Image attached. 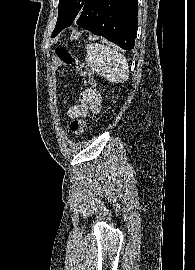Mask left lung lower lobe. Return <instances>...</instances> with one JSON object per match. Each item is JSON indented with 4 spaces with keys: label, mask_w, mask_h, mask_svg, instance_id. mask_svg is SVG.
I'll list each match as a JSON object with an SVG mask.
<instances>
[{
    "label": "left lung lower lobe",
    "mask_w": 195,
    "mask_h": 270,
    "mask_svg": "<svg viewBox=\"0 0 195 270\" xmlns=\"http://www.w3.org/2000/svg\"><path fill=\"white\" fill-rule=\"evenodd\" d=\"M137 13V0H86L76 20L83 29L127 50L135 45Z\"/></svg>",
    "instance_id": "1"
}]
</instances>
